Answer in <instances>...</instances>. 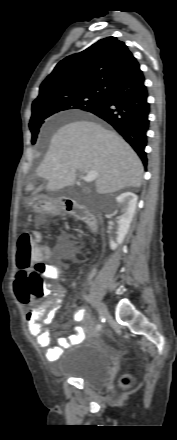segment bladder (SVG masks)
I'll use <instances>...</instances> for the list:
<instances>
[{"label":"bladder","mask_w":177,"mask_h":440,"mask_svg":"<svg viewBox=\"0 0 177 440\" xmlns=\"http://www.w3.org/2000/svg\"><path fill=\"white\" fill-rule=\"evenodd\" d=\"M110 371V358L98 349L92 339L78 343L62 367V375L80 379L94 389L105 385Z\"/></svg>","instance_id":"obj_1"}]
</instances>
